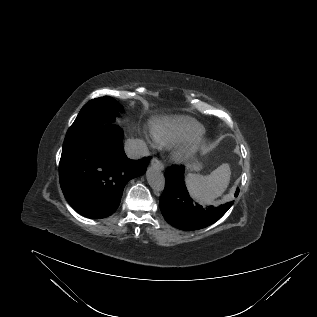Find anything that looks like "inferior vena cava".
<instances>
[{
	"label": "inferior vena cava",
	"mask_w": 317,
	"mask_h": 317,
	"mask_svg": "<svg viewBox=\"0 0 317 317\" xmlns=\"http://www.w3.org/2000/svg\"><path fill=\"white\" fill-rule=\"evenodd\" d=\"M124 150L130 159H140L149 153L146 143L141 139L126 140Z\"/></svg>",
	"instance_id": "1"
}]
</instances>
